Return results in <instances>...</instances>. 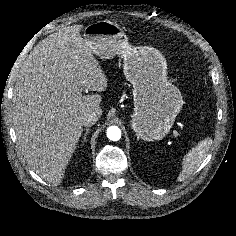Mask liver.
<instances>
[{
    "label": "liver",
    "instance_id": "liver-1",
    "mask_svg": "<svg viewBox=\"0 0 236 236\" xmlns=\"http://www.w3.org/2000/svg\"><path fill=\"white\" fill-rule=\"evenodd\" d=\"M82 25L50 34L22 63L13 91V124L21 153L54 186L83 132L82 115H102L107 78L81 37ZM99 93L82 95V91Z\"/></svg>",
    "mask_w": 236,
    "mask_h": 236
}]
</instances>
